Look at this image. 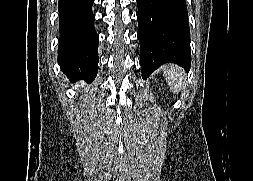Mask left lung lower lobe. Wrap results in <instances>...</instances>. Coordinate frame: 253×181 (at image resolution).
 Segmentation results:
<instances>
[{"instance_id":"0a47b994","label":"left lung lower lobe","mask_w":253,"mask_h":181,"mask_svg":"<svg viewBox=\"0 0 253 181\" xmlns=\"http://www.w3.org/2000/svg\"><path fill=\"white\" fill-rule=\"evenodd\" d=\"M137 5L142 77L146 79L167 62L188 71L191 52L185 0H137Z\"/></svg>"}]
</instances>
